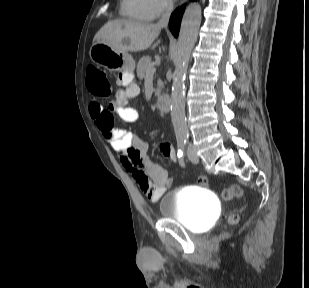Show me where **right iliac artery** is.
<instances>
[{"instance_id":"1","label":"right iliac artery","mask_w":309,"mask_h":288,"mask_svg":"<svg viewBox=\"0 0 309 288\" xmlns=\"http://www.w3.org/2000/svg\"><path fill=\"white\" fill-rule=\"evenodd\" d=\"M185 144H186V139H179L177 142V146H178L177 156L179 158V162L181 165H184L183 149H184Z\"/></svg>"}]
</instances>
